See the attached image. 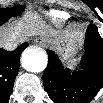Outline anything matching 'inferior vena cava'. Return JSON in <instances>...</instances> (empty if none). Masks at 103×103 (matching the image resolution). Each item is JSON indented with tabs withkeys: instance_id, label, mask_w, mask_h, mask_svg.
<instances>
[{
	"instance_id": "obj_1",
	"label": "inferior vena cava",
	"mask_w": 103,
	"mask_h": 103,
	"mask_svg": "<svg viewBox=\"0 0 103 103\" xmlns=\"http://www.w3.org/2000/svg\"><path fill=\"white\" fill-rule=\"evenodd\" d=\"M17 46L18 44L16 42H6L2 44V47H4V49L9 51L14 50Z\"/></svg>"
}]
</instances>
